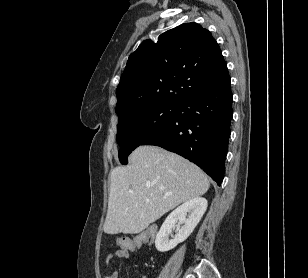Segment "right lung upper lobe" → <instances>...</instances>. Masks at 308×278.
<instances>
[{
    "label": "right lung upper lobe",
    "instance_id": "1",
    "mask_svg": "<svg viewBox=\"0 0 308 278\" xmlns=\"http://www.w3.org/2000/svg\"><path fill=\"white\" fill-rule=\"evenodd\" d=\"M227 64L211 33L197 23L145 40L127 61L116 90L119 121L154 105H178L229 79Z\"/></svg>",
    "mask_w": 308,
    "mask_h": 278
}]
</instances>
